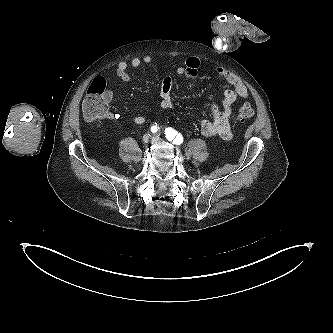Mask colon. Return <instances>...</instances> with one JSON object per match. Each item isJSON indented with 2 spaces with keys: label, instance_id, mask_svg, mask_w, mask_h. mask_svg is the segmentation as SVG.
Returning a JSON list of instances; mask_svg holds the SVG:
<instances>
[{
  "label": "colon",
  "instance_id": "5ec220e1",
  "mask_svg": "<svg viewBox=\"0 0 333 333\" xmlns=\"http://www.w3.org/2000/svg\"><path fill=\"white\" fill-rule=\"evenodd\" d=\"M106 82L104 78L97 77L90 84L83 102V115L89 121H96L104 118L108 112V103L105 98ZM254 110L249 104L242 105L237 113L241 122L250 120Z\"/></svg>",
  "mask_w": 333,
  "mask_h": 333
}]
</instances>
